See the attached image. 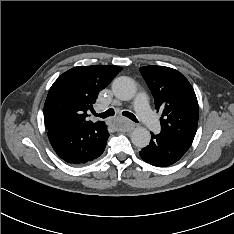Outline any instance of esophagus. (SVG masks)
I'll return each instance as SVG.
<instances>
[{
  "label": "esophagus",
  "instance_id": "obj_1",
  "mask_svg": "<svg viewBox=\"0 0 234 234\" xmlns=\"http://www.w3.org/2000/svg\"><path fill=\"white\" fill-rule=\"evenodd\" d=\"M133 128H134V124H133V123H128V124L123 128V130H124V131H127V132H130V131H132Z\"/></svg>",
  "mask_w": 234,
  "mask_h": 234
}]
</instances>
